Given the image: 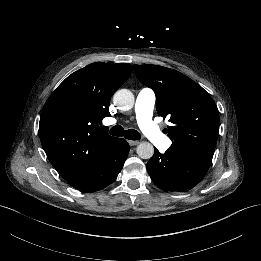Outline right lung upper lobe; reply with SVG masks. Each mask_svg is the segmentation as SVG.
Returning a JSON list of instances; mask_svg holds the SVG:
<instances>
[{"label": "right lung upper lobe", "instance_id": "cb5924a9", "mask_svg": "<svg viewBox=\"0 0 261 261\" xmlns=\"http://www.w3.org/2000/svg\"><path fill=\"white\" fill-rule=\"evenodd\" d=\"M127 63H92L69 75L45 103L39 136L46 155L67 180L102 160L118 139L101 126L110 98L129 78Z\"/></svg>", "mask_w": 261, "mask_h": 261}]
</instances>
